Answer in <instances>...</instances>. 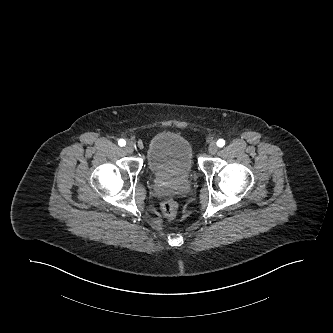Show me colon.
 <instances>
[{"label":"colon","mask_w":333,"mask_h":333,"mask_svg":"<svg viewBox=\"0 0 333 333\" xmlns=\"http://www.w3.org/2000/svg\"><path fill=\"white\" fill-rule=\"evenodd\" d=\"M162 211L165 216L173 218L178 213V204L174 200H166L162 204Z\"/></svg>","instance_id":"5ec220e1"}]
</instances>
